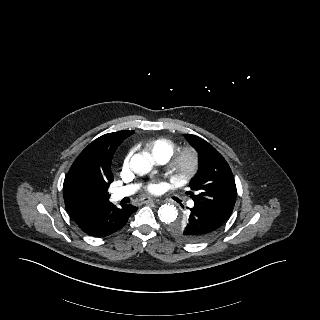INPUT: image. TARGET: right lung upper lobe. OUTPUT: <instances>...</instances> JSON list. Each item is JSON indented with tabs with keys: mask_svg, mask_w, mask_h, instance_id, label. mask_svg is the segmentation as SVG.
<instances>
[{
	"mask_svg": "<svg viewBox=\"0 0 320 320\" xmlns=\"http://www.w3.org/2000/svg\"><path fill=\"white\" fill-rule=\"evenodd\" d=\"M134 131L122 130L105 134L90 143L76 158L64 180V201L66 210L71 211L84 207L79 202L72 187L87 181L101 180L111 183L114 176L111 172V161L118 146Z\"/></svg>",
	"mask_w": 320,
	"mask_h": 320,
	"instance_id": "obj_1",
	"label": "right lung upper lobe"
}]
</instances>
